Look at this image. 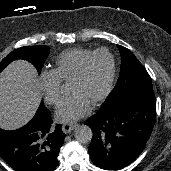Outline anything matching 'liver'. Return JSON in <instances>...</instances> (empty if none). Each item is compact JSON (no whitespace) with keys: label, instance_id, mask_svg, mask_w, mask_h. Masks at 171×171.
I'll use <instances>...</instances> for the list:
<instances>
[{"label":"liver","instance_id":"obj_1","mask_svg":"<svg viewBox=\"0 0 171 171\" xmlns=\"http://www.w3.org/2000/svg\"><path fill=\"white\" fill-rule=\"evenodd\" d=\"M36 69L16 60L0 73V128L18 129L34 116L41 101Z\"/></svg>","mask_w":171,"mask_h":171}]
</instances>
